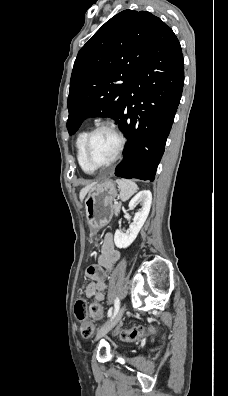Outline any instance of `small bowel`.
<instances>
[{
	"instance_id": "small-bowel-1",
	"label": "small bowel",
	"mask_w": 228,
	"mask_h": 396,
	"mask_svg": "<svg viewBox=\"0 0 228 396\" xmlns=\"http://www.w3.org/2000/svg\"><path fill=\"white\" fill-rule=\"evenodd\" d=\"M119 258L120 254L115 249L112 235L106 234L103 238L102 248L97 257V262L88 266L85 271L86 277L92 280L86 287V297L94 298L97 302H103L105 300L106 272L112 270Z\"/></svg>"
}]
</instances>
